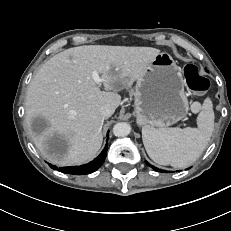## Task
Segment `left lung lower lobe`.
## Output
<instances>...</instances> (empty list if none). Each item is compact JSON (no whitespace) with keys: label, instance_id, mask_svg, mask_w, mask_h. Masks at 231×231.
I'll return each instance as SVG.
<instances>
[{"label":"left lung lower lobe","instance_id":"obj_1","mask_svg":"<svg viewBox=\"0 0 231 231\" xmlns=\"http://www.w3.org/2000/svg\"><path fill=\"white\" fill-rule=\"evenodd\" d=\"M145 163L147 164V166H150L151 168H153V169L156 170V171L164 172V173L167 172L166 170H160V169L154 167L153 165L149 164L147 161H145ZM168 173H170V171H168Z\"/></svg>","mask_w":231,"mask_h":231}]
</instances>
